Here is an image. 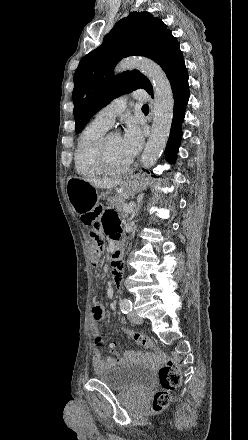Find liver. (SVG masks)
<instances>
[{
  "label": "liver",
  "instance_id": "6515ba94",
  "mask_svg": "<svg viewBox=\"0 0 248 440\" xmlns=\"http://www.w3.org/2000/svg\"><path fill=\"white\" fill-rule=\"evenodd\" d=\"M91 185L96 188L110 189L121 183V179H87Z\"/></svg>",
  "mask_w": 248,
  "mask_h": 440
}]
</instances>
